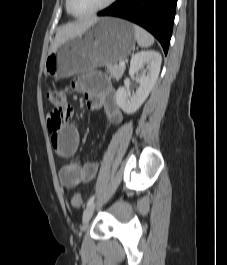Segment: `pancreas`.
<instances>
[{"mask_svg":"<svg viewBox=\"0 0 227 265\" xmlns=\"http://www.w3.org/2000/svg\"><path fill=\"white\" fill-rule=\"evenodd\" d=\"M125 66L121 67L116 64H108L107 71L110 73L111 76L115 77L116 79H120L124 73Z\"/></svg>","mask_w":227,"mask_h":265,"instance_id":"pancreas-1","label":"pancreas"}]
</instances>
